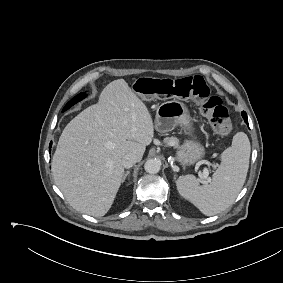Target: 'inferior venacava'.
I'll return each mask as SVG.
<instances>
[{
    "label": "inferior vena cava",
    "mask_w": 283,
    "mask_h": 283,
    "mask_svg": "<svg viewBox=\"0 0 283 283\" xmlns=\"http://www.w3.org/2000/svg\"><path fill=\"white\" fill-rule=\"evenodd\" d=\"M136 162H138V156L134 153H127L122 158V165L124 168H130L132 167Z\"/></svg>",
    "instance_id": "1"
}]
</instances>
